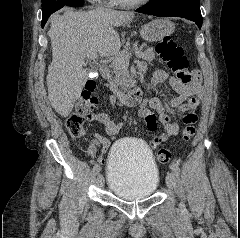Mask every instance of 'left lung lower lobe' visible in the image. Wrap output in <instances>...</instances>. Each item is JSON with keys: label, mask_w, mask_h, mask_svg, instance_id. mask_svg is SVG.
Listing matches in <instances>:
<instances>
[{"label": "left lung lower lobe", "mask_w": 240, "mask_h": 238, "mask_svg": "<svg viewBox=\"0 0 240 238\" xmlns=\"http://www.w3.org/2000/svg\"><path fill=\"white\" fill-rule=\"evenodd\" d=\"M200 0H156L149 2L136 11L158 17H182L202 26Z\"/></svg>", "instance_id": "0a47b994"}]
</instances>
